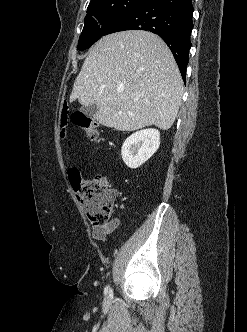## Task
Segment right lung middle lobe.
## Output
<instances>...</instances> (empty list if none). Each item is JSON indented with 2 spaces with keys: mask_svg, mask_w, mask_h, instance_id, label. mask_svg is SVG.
<instances>
[{
  "mask_svg": "<svg viewBox=\"0 0 247 332\" xmlns=\"http://www.w3.org/2000/svg\"><path fill=\"white\" fill-rule=\"evenodd\" d=\"M147 0H99L88 6L85 25L78 41L80 51L104 36L118 19Z\"/></svg>",
  "mask_w": 247,
  "mask_h": 332,
  "instance_id": "right-lung-middle-lobe-1",
  "label": "right lung middle lobe"
}]
</instances>
